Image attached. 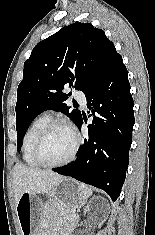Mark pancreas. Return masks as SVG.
I'll return each instance as SVG.
<instances>
[{
	"instance_id": "cf45deb5",
	"label": "pancreas",
	"mask_w": 155,
	"mask_h": 235,
	"mask_svg": "<svg viewBox=\"0 0 155 235\" xmlns=\"http://www.w3.org/2000/svg\"><path fill=\"white\" fill-rule=\"evenodd\" d=\"M59 213L63 216L64 219L68 221H72L74 219V214L70 212V210L60 207L58 208Z\"/></svg>"
}]
</instances>
